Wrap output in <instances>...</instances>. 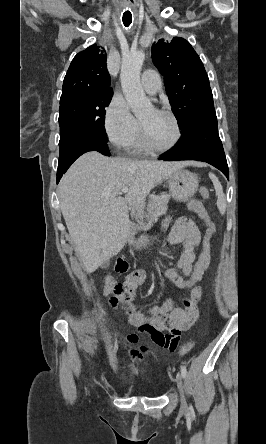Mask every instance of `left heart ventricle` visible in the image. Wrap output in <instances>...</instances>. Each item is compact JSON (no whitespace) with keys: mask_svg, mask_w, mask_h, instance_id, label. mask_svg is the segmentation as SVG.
<instances>
[{"mask_svg":"<svg viewBox=\"0 0 266 444\" xmlns=\"http://www.w3.org/2000/svg\"><path fill=\"white\" fill-rule=\"evenodd\" d=\"M140 121L154 145L164 148L173 141L176 131L174 122L170 117L152 109L145 113Z\"/></svg>","mask_w":266,"mask_h":444,"instance_id":"left-heart-ventricle-1","label":"left heart ventricle"}]
</instances>
